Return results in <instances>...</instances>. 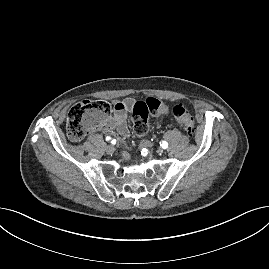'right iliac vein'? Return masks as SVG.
Segmentation results:
<instances>
[{
	"instance_id": "right-iliac-vein-1",
	"label": "right iliac vein",
	"mask_w": 269,
	"mask_h": 269,
	"mask_svg": "<svg viewBox=\"0 0 269 269\" xmlns=\"http://www.w3.org/2000/svg\"><path fill=\"white\" fill-rule=\"evenodd\" d=\"M105 149H106V152L109 154L113 153L115 150L114 146L112 145H107Z\"/></svg>"
}]
</instances>
